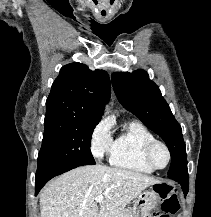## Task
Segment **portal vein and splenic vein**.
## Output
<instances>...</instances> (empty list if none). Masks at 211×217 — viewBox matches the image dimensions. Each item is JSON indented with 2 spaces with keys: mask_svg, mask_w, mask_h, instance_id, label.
I'll use <instances>...</instances> for the list:
<instances>
[{
  "mask_svg": "<svg viewBox=\"0 0 211 217\" xmlns=\"http://www.w3.org/2000/svg\"><path fill=\"white\" fill-rule=\"evenodd\" d=\"M103 199H104L103 196H97V197L95 198V202L101 203V202L103 201Z\"/></svg>",
  "mask_w": 211,
  "mask_h": 217,
  "instance_id": "obj_1",
  "label": "portal vein and splenic vein"
}]
</instances>
